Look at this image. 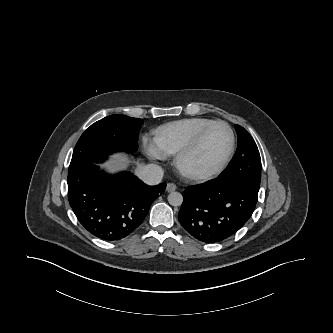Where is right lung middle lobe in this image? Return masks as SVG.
Masks as SVG:
<instances>
[{
    "label": "right lung middle lobe",
    "mask_w": 333,
    "mask_h": 333,
    "mask_svg": "<svg viewBox=\"0 0 333 333\" xmlns=\"http://www.w3.org/2000/svg\"><path fill=\"white\" fill-rule=\"evenodd\" d=\"M142 124V119L119 114L95 122L79 138L68 173L83 165L103 161L112 152H136Z\"/></svg>",
    "instance_id": "1"
}]
</instances>
